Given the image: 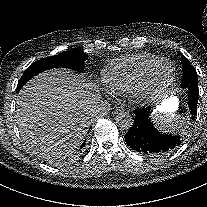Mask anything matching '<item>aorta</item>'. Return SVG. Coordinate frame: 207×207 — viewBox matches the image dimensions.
I'll use <instances>...</instances> for the list:
<instances>
[{"instance_id": "obj_1", "label": "aorta", "mask_w": 207, "mask_h": 207, "mask_svg": "<svg viewBox=\"0 0 207 207\" xmlns=\"http://www.w3.org/2000/svg\"><path fill=\"white\" fill-rule=\"evenodd\" d=\"M116 125L121 129V130H128L132 127L133 125V117L128 113V112H119L116 115Z\"/></svg>"}]
</instances>
